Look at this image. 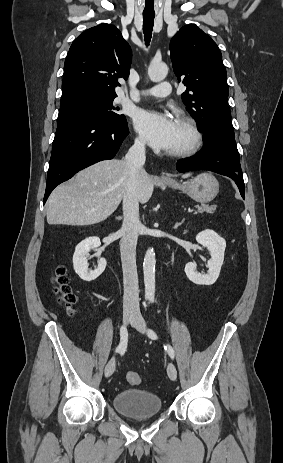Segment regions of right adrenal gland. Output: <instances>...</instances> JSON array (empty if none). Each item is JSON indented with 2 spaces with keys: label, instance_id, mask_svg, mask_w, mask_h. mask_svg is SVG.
Segmentation results:
<instances>
[{
  "label": "right adrenal gland",
  "instance_id": "2a0ac1e0",
  "mask_svg": "<svg viewBox=\"0 0 283 463\" xmlns=\"http://www.w3.org/2000/svg\"><path fill=\"white\" fill-rule=\"evenodd\" d=\"M117 219H118V220H122V216H118Z\"/></svg>",
  "mask_w": 283,
  "mask_h": 463
}]
</instances>
